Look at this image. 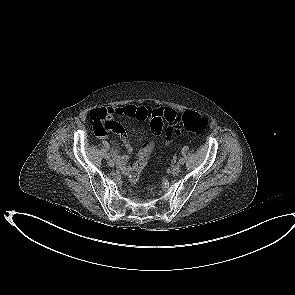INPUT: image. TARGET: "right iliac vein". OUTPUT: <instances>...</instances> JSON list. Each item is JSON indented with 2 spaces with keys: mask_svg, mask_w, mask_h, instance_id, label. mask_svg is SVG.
<instances>
[{
  "mask_svg": "<svg viewBox=\"0 0 295 295\" xmlns=\"http://www.w3.org/2000/svg\"><path fill=\"white\" fill-rule=\"evenodd\" d=\"M108 165L110 166V167H113L114 165H115V163H114V161L113 160H108Z\"/></svg>",
  "mask_w": 295,
  "mask_h": 295,
  "instance_id": "obj_1",
  "label": "right iliac vein"
}]
</instances>
